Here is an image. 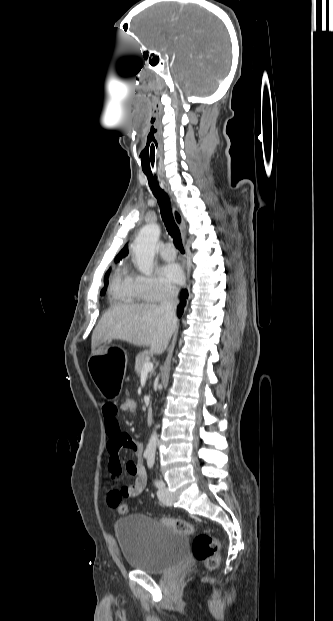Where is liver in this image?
<instances>
[{"label":"liver","instance_id":"obj_1","mask_svg":"<svg viewBox=\"0 0 333 621\" xmlns=\"http://www.w3.org/2000/svg\"><path fill=\"white\" fill-rule=\"evenodd\" d=\"M176 325L168 321L164 311L155 304L117 305L109 309L93 331L91 348L110 340H123L135 346H150L162 354Z\"/></svg>","mask_w":333,"mask_h":621}]
</instances>
